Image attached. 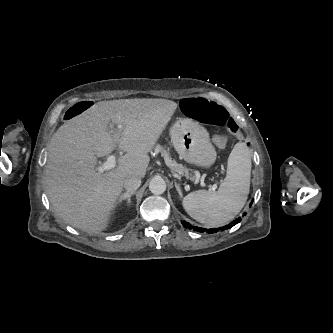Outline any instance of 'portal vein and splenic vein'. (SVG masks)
Segmentation results:
<instances>
[{"label":"portal vein and splenic vein","mask_w":333,"mask_h":333,"mask_svg":"<svg viewBox=\"0 0 333 333\" xmlns=\"http://www.w3.org/2000/svg\"><path fill=\"white\" fill-rule=\"evenodd\" d=\"M118 128H121V125L118 126ZM116 163V157L115 155H109L107 157V160L99 167L100 172H104L107 170H110L115 167ZM215 186L212 187V191H215Z\"/></svg>","instance_id":"18ae733b"}]
</instances>
